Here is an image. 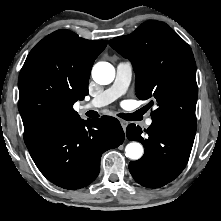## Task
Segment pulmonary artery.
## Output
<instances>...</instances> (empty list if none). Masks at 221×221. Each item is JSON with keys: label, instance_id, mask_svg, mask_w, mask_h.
Returning <instances> with one entry per match:
<instances>
[{"label": "pulmonary artery", "instance_id": "1", "mask_svg": "<svg viewBox=\"0 0 221 221\" xmlns=\"http://www.w3.org/2000/svg\"><path fill=\"white\" fill-rule=\"evenodd\" d=\"M132 71L133 67L130 62H120L116 68V77L113 84L94 97L88 104L84 105L83 109L100 108L121 97L128 89L132 77ZM152 122L151 118L146 119L147 126H150Z\"/></svg>", "mask_w": 221, "mask_h": 221}]
</instances>
